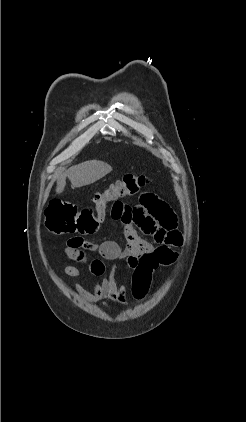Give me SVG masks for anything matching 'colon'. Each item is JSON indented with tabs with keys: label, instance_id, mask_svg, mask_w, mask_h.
<instances>
[{
	"label": "colon",
	"instance_id": "obj_1",
	"mask_svg": "<svg viewBox=\"0 0 246 422\" xmlns=\"http://www.w3.org/2000/svg\"><path fill=\"white\" fill-rule=\"evenodd\" d=\"M150 183L145 174H125L97 193L93 204L79 207L75 203L53 200L45 211V226L53 233L91 234L105 219L109 208L122 205L121 200L133 196ZM176 260V253L167 248H159L144 253L133 265L132 295L136 300L146 297L152 273L161 266H168Z\"/></svg>",
	"mask_w": 246,
	"mask_h": 422
}]
</instances>
